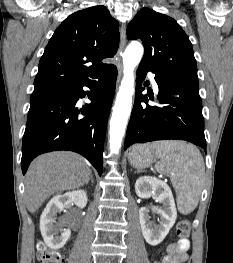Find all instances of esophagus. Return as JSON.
<instances>
[{"label":"esophagus","mask_w":233,"mask_h":263,"mask_svg":"<svg viewBox=\"0 0 233 263\" xmlns=\"http://www.w3.org/2000/svg\"><path fill=\"white\" fill-rule=\"evenodd\" d=\"M126 46V30L125 26L121 28L120 31V43H119V49H118V64H117V69H118V77H117V86L119 85L121 76H122V61H121V56L122 53L125 49Z\"/></svg>","instance_id":"obj_1"}]
</instances>
